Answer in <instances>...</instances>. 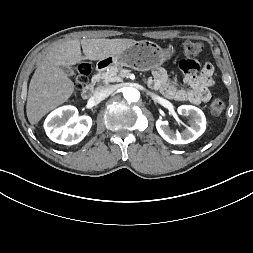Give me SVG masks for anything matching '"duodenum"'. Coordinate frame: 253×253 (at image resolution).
Segmentation results:
<instances>
[{
    "mask_svg": "<svg viewBox=\"0 0 253 253\" xmlns=\"http://www.w3.org/2000/svg\"><path fill=\"white\" fill-rule=\"evenodd\" d=\"M100 71H101V68H98L97 69V72L95 74V76L92 78V80L90 81L89 84H87L83 91H82V97L84 99H89L91 96H92V93L95 89V85H96V82L98 81L99 79V74H100Z\"/></svg>",
    "mask_w": 253,
    "mask_h": 253,
    "instance_id": "410a0bca",
    "label": "duodenum"
}]
</instances>
